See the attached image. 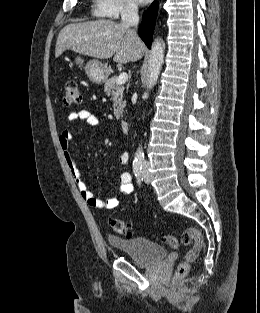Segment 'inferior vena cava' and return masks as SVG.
Listing matches in <instances>:
<instances>
[{
  "label": "inferior vena cava",
  "instance_id": "602c4592",
  "mask_svg": "<svg viewBox=\"0 0 260 313\" xmlns=\"http://www.w3.org/2000/svg\"><path fill=\"white\" fill-rule=\"evenodd\" d=\"M121 24L126 27H137L139 22L138 8L131 3H125L121 11ZM145 166H148L146 161L143 162Z\"/></svg>",
  "mask_w": 260,
  "mask_h": 313
}]
</instances>
